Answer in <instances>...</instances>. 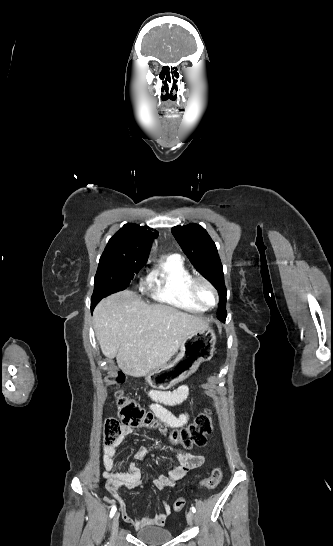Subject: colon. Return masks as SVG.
<instances>
[{"label":"colon","mask_w":333,"mask_h":546,"mask_svg":"<svg viewBox=\"0 0 333 546\" xmlns=\"http://www.w3.org/2000/svg\"><path fill=\"white\" fill-rule=\"evenodd\" d=\"M118 382L124 381V374L119 372ZM117 417H109L104 425V442L107 445L115 443L120 434L122 426L130 428H160V424L152 413L145 410L138 402L122 393L117 397ZM212 419L208 411L199 413L194 420L186 427L174 430L167 436L168 439L186 449L202 447L206 444L207 436L212 433ZM222 479V471L219 468L213 470L212 474L201 480L200 487L214 489ZM185 506V499L178 498L173 509L181 511Z\"/></svg>","instance_id":"colon-1"}]
</instances>
